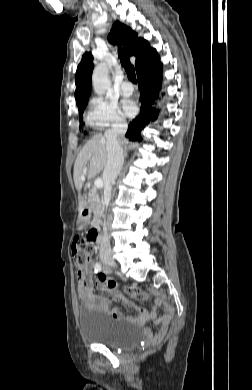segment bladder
I'll list each match as a JSON object with an SVG mask.
<instances>
[{
	"label": "bladder",
	"mask_w": 252,
	"mask_h": 390,
	"mask_svg": "<svg viewBox=\"0 0 252 390\" xmlns=\"http://www.w3.org/2000/svg\"><path fill=\"white\" fill-rule=\"evenodd\" d=\"M79 324L86 341L113 348H133L144 337V329L134 322L109 319L85 311L79 313Z\"/></svg>",
	"instance_id": "obj_1"
}]
</instances>
